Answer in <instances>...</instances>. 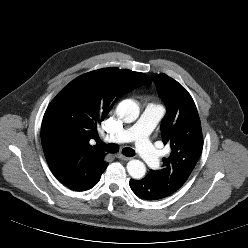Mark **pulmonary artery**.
<instances>
[{"instance_id": "1", "label": "pulmonary artery", "mask_w": 248, "mask_h": 248, "mask_svg": "<svg viewBox=\"0 0 248 248\" xmlns=\"http://www.w3.org/2000/svg\"><path fill=\"white\" fill-rule=\"evenodd\" d=\"M164 114L163 108L155 103L146 105L139 119L131 126L107 137L112 143L134 142L136 151L141 158L152 168L160 164V151L150 141L149 135L157 122Z\"/></svg>"}]
</instances>
